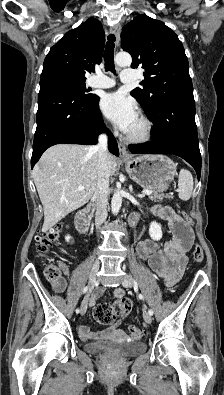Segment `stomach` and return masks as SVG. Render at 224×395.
Here are the masks:
<instances>
[{
    "label": "stomach",
    "mask_w": 224,
    "mask_h": 395,
    "mask_svg": "<svg viewBox=\"0 0 224 395\" xmlns=\"http://www.w3.org/2000/svg\"><path fill=\"white\" fill-rule=\"evenodd\" d=\"M125 168L132 180L145 189L163 192L175 177L176 165L163 155H141L125 162Z\"/></svg>",
    "instance_id": "0dacf381"
}]
</instances>
